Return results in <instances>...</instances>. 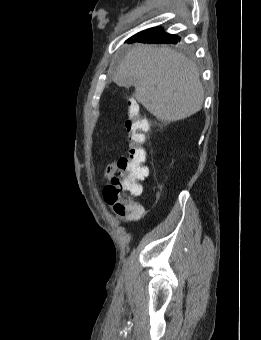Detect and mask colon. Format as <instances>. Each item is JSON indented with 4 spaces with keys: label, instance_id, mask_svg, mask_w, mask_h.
<instances>
[{
    "label": "colon",
    "instance_id": "colon-1",
    "mask_svg": "<svg viewBox=\"0 0 261 340\" xmlns=\"http://www.w3.org/2000/svg\"><path fill=\"white\" fill-rule=\"evenodd\" d=\"M128 151L118 159V174L103 191L105 201L113 206L119 215H137L143 208L133 201L142 192L141 182L148 176L146 166L148 151L145 147V134L148 123L140 116L136 102L129 101L128 117L125 122Z\"/></svg>",
    "mask_w": 261,
    "mask_h": 340
}]
</instances>
